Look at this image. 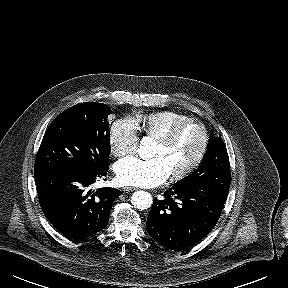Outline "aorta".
Segmentation results:
<instances>
[{
	"instance_id": "aorta-1",
	"label": "aorta",
	"mask_w": 288,
	"mask_h": 288,
	"mask_svg": "<svg viewBox=\"0 0 288 288\" xmlns=\"http://www.w3.org/2000/svg\"><path fill=\"white\" fill-rule=\"evenodd\" d=\"M138 154L142 159H150L154 155V142L150 137H144L138 149ZM131 202L139 210H145L151 207L153 199L150 193L146 191H136L132 194Z\"/></svg>"
}]
</instances>
